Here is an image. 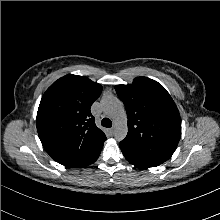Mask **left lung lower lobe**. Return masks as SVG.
<instances>
[{
    "label": "left lung lower lobe",
    "mask_w": 220,
    "mask_h": 220,
    "mask_svg": "<svg viewBox=\"0 0 220 220\" xmlns=\"http://www.w3.org/2000/svg\"><path fill=\"white\" fill-rule=\"evenodd\" d=\"M121 151L125 158L130 162L131 164L141 167V168H149V167H156L160 165V163H157L151 159L145 158L139 154H136L134 152H131L123 147H121Z\"/></svg>",
    "instance_id": "0a47b994"
}]
</instances>
